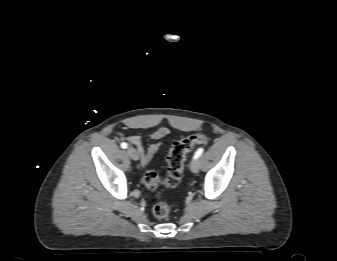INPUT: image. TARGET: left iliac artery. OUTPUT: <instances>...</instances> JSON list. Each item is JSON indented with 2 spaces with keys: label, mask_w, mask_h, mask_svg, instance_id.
<instances>
[{
  "label": "left iliac artery",
  "mask_w": 337,
  "mask_h": 261,
  "mask_svg": "<svg viewBox=\"0 0 337 261\" xmlns=\"http://www.w3.org/2000/svg\"><path fill=\"white\" fill-rule=\"evenodd\" d=\"M203 151H204L203 148H199V149L195 152L194 158H195V159H196V158H199V157L203 154Z\"/></svg>",
  "instance_id": "left-iliac-artery-1"
}]
</instances>
